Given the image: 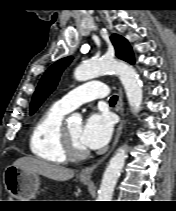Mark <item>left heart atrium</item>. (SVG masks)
Returning a JSON list of instances; mask_svg holds the SVG:
<instances>
[{
  "instance_id": "39dd6f15",
  "label": "left heart atrium",
  "mask_w": 176,
  "mask_h": 211,
  "mask_svg": "<svg viewBox=\"0 0 176 211\" xmlns=\"http://www.w3.org/2000/svg\"><path fill=\"white\" fill-rule=\"evenodd\" d=\"M112 130V121L107 113H93L82 128L80 141L88 149L102 148L110 140Z\"/></svg>"
}]
</instances>
